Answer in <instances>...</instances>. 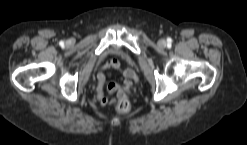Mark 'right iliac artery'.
<instances>
[{"mask_svg":"<svg viewBox=\"0 0 247 145\" xmlns=\"http://www.w3.org/2000/svg\"><path fill=\"white\" fill-rule=\"evenodd\" d=\"M60 45L63 46L64 45V42H60Z\"/></svg>","mask_w":247,"mask_h":145,"instance_id":"right-iliac-artery-1","label":"right iliac artery"}]
</instances>
